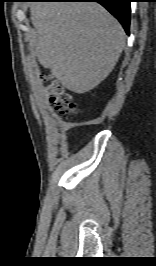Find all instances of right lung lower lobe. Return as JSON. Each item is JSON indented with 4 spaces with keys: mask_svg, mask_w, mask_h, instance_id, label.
I'll use <instances>...</instances> for the list:
<instances>
[{
    "mask_svg": "<svg viewBox=\"0 0 156 266\" xmlns=\"http://www.w3.org/2000/svg\"><path fill=\"white\" fill-rule=\"evenodd\" d=\"M46 2H98L114 15L129 34L131 0H36Z\"/></svg>",
    "mask_w": 156,
    "mask_h": 266,
    "instance_id": "1",
    "label": "right lung lower lobe"
}]
</instances>
